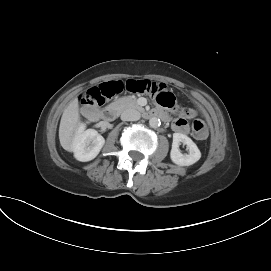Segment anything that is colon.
<instances>
[{
    "label": "colon",
    "mask_w": 271,
    "mask_h": 271,
    "mask_svg": "<svg viewBox=\"0 0 271 271\" xmlns=\"http://www.w3.org/2000/svg\"><path fill=\"white\" fill-rule=\"evenodd\" d=\"M122 92L147 94L155 98L156 102L163 107L173 108L175 106V97L172 93L158 86V83L146 79H127L116 80L102 83L88 89L80 98L81 103L88 107L101 106L106 98H111ZM183 111L191 115L192 111L184 107ZM193 135L198 140L207 137L208 130L206 123L201 118H196L192 123Z\"/></svg>",
    "instance_id": "obj_1"
}]
</instances>
